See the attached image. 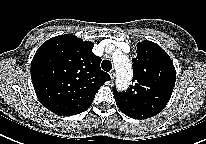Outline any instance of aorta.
Masks as SVG:
<instances>
[{"mask_svg": "<svg viewBox=\"0 0 206 144\" xmlns=\"http://www.w3.org/2000/svg\"><path fill=\"white\" fill-rule=\"evenodd\" d=\"M113 65L117 74L116 86L119 90H124L132 78L131 62L126 55L120 53L113 56Z\"/></svg>", "mask_w": 206, "mask_h": 144, "instance_id": "762f6f07", "label": "aorta"}]
</instances>
